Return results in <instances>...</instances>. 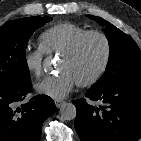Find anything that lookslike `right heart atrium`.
I'll return each mask as SVG.
<instances>
[{"instance_id":"1","label":"right heart atrium","mask_w":141,"mask_h":141,"mask_svg":"<svg viewBox=\"0 0 141 141\" xmlns=\"http://www.w3.org/2000/svg\"><path fill=\"white\" fill-rule=\"evenodd\" d=\"M46 51L41 47L27 46L23 53V63L26 70L33 76L38 77L43 71V60Z\"/></svg>"}]
</instances>
